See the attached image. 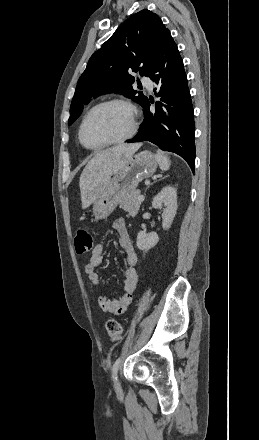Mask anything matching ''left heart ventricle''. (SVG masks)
Instances as JSON below:
<instances>
[{"label": "left heart ventricle", "instance_id": "1", "mask_svg": "<svg viewBox=\"0 0 259 440\" xmlns=\"http://www.w3.org/2000/svg\"><path fill=\"white\" fill-rule=\"evenodd\" d=\"M130 129L128 109L120 104L104 106L87 120L83 138L90 146L100 145L123 137Z\"/></svg>", "mask_w": 259, "mask_h": 440}]
</instances>
